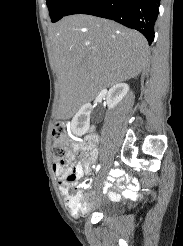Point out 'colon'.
I'll use <instances>...</instances> for the list:
<instances>
[{"label": "colon", "mask_w": 183, "mask_h": 246, "mask_svg": "<svg viewBox=\"0 0 183 246\" xmlns=\"http://www.w3.org/2000/svg\"><path fill=\"white\" fill-rule=\"evenodd\" d=\"M64 136V125L61 123H56L52 129L51 153L55 163L61 164L63 166L68 164L67 154L69 150L64 141ZM67 181L69 183H73L75 181V178H67ZM72 208L79 212H86L89 209V206L81 196H77L72 201Z\"/></svg>", "instance_id": "1"}]
</instances>
